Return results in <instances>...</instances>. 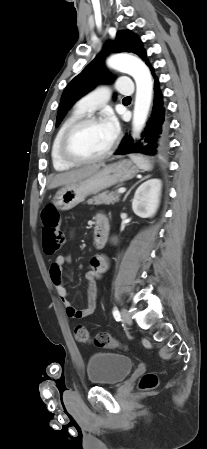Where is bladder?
Segmentation results:
<instances>
[{
    "label": "bladder",
    "instance_id": "1",
    "mask_svg": "<svg viewBox=\"0 0 207 449\" xmlns=\"http://www.w3.org/2000/svg\"><path fill=\"white\" fill-rule=\"evenodd\" d=\"M133 368L132 358L112 352L92 353L86 364L89 382L99 386H114L123 382Z\"/></svg>",
    "mask_w": 207,
    "mask_h": 449
}]
</instances>
